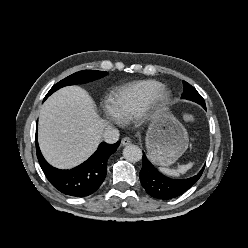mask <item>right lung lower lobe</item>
Wrapping results in <instances>:
<instances>
[{"instance_id": "right-lung-lower-lobe-1", "label": "right lung lower lobe", "mask_w": 248, "mask_h": 248, "mask_svg": "<svg viewBox=\"0 0 248 248\" xmlns=\"http://www.w3.org/2000/svg\"><path fill=\"white\" fill-rule=\"evenodd\" d=\"M119 144L120 141L115 144L102 142L87 161L73 169L60 170L48 164L42 156L36 132L37 158L46 178L60 192L75 197L88 196L100 187L106 176L107 160Z\"/></svg>"}]
</instances>
